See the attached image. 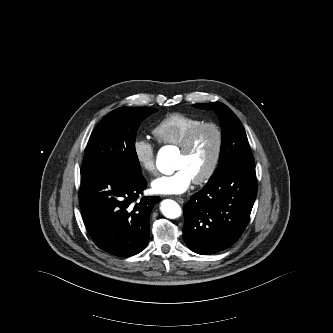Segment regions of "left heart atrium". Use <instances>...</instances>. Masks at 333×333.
I'll return each mask as SVG.
<instances>
[{"label":"left heart atrium","mask_w":333,"mask_h":333,"mask_svg":"<svg viewBox=\"0 0 333 333\" xmlns=\"http://www.w3.org/2000/svg\"><path fill=\"white\" fill-rule=\"evenodd\" d=\"M193 178L183 168L177 169L170 175H163L151 183L152 191L160 195H178L189 189Z\"/></svg>","instance_id":"39dd6f15"}]
</instances>
